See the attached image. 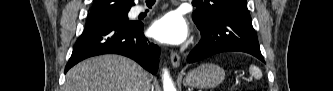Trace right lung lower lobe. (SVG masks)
Returning a JSON list of instances; mask_svg holds the SVG:
<instances>
[{"label": "right lung lower lobe", "instance_id": "98d812e1", "mask_svg": "<svg viewBox=\"0 0 333 91\" xmlns=\"http://www.w3.org/2000/svg\"><path fill=\"white\" fill-rule=\"evenodd\" d=\"M101 54L127 56L156 74L160 48L144 37L143 24L139 21L88 20L74 46L65 73L83 59Z\"/></svg>", "mask_w": 333, "mask_h": 91}]
</instances>
